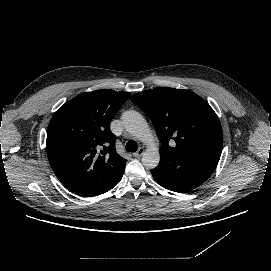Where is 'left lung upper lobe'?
Here are the masks:
<instances>
[{"mask_svg": "<svg viewBox=\"0 0 271 271\" xmlns=\"http://www.w3.org/2000/svg\"><path fill=\"white\" fill-rule=\"evenodd\" d=\"M131 101L151 119L160 149L220 159L221 124L210 105L194 92L160 87L136 93Z\"/></svg>", "mask_w": 271, "mask_h": 271, "instance_id": "obj_1", "label": "left lung upper lobe"}]
</instances>
